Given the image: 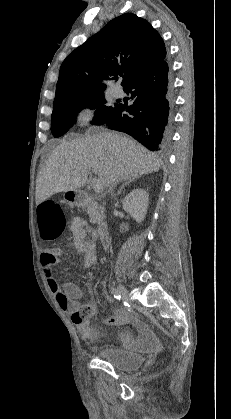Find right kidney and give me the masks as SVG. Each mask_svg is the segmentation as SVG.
Masks as SVG:
<instances>
[{"label": "right kidney", "instance_id": "obj_1", "mask_svg": "<svg viewBox=\"0 0 231 419\" xmlns=\"http://www.w3.org/2000/svg\"><path fill=\"white\" fill-rule=\"evenodd\" d=\"M149 203V194L146 190L137 188L127 194L123 201V209L126 211L136 222L141 223L147 213Z\"/></svg>", "mask_w": 231, "mask_h": 419}]
</instances>
